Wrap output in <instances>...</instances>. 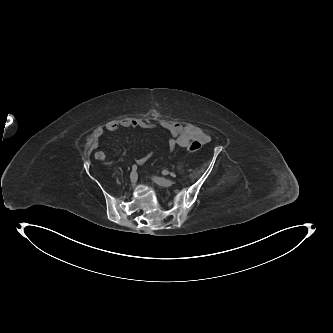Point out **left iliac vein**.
I'll use <instances>...</instances> for the list:
<instances>
[{
	"label": "left iliac vein",
	"mask_w": 333,
	"mask_h": 333,
	"mask_svg": "<svg viewBox=\"0 0 333 333\" xmlns=\"http://www.w3.org/2000/svg\"><path fill=\"white\" fill-rule=\"evenodd\" d=\"M153 181L162 187H169L174 183L173 180L164 179L160 177H153Z\"/></svg>",
	"instance_id": "left-iliac-vein-1"
}]
</instances>
